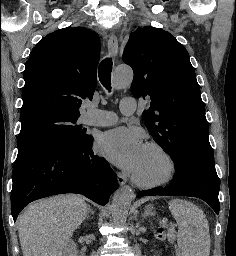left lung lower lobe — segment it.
Here are the masks:
<instances>
[{"label":"left lung lower lobe","mask_w":236,"mask_h":256,"mask_svg":"<svg viewBox=\"0 0 236 256\" xmlns=\"http://www.w3.org/2000/svg\"><path fill=\"white\" fill-rule=\"evenodd\" d=\"M175 170L174 178L167 187L141 191L137 197L154 195L197 197L208 203L218 214L219 178L214 159L189 155L175 164Z\"/></svg>","instance_id":"left-lung-lower-lobe-1"}]
</instances>
